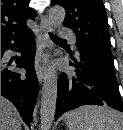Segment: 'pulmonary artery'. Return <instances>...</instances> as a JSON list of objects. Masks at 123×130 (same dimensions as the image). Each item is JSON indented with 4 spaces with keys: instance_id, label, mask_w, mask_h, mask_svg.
<instances>
[{
    "instance_id": "obj_1",
    "label": "pulmonary artery",
    "mask_w": 123,
    "mask_h": 130,
    "mask_svg": "<svg viewBox=\"0 0 123 130\" xmlns=\"http://www.w3.org/2000/svg\"><path fill=\"white\" fill-rule=\"evenodd\" d=\"M59 35L62 38H66V39L71 40L73 43H75V41H76L75 35L68 28H61L60 31H59Z\"/></svg>"
}]
</instances>
